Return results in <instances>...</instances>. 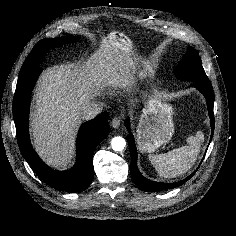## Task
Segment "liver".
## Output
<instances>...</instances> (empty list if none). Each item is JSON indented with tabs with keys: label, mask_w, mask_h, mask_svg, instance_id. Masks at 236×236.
I'll use <instances>...</instances> for the list:
<instances>
[{
	"label": "liver",
	"mask_w": 236,
	"mask_h": 236,
	"mask_svg": "<svg viewBox=\"0 0 236 236\" xmlns=\"http://www.w3.org/2000/svg\"><path fill=\"white\" fill-rule=\"evenodd\" d=\"M132 74L126 52L107 38L83 64L49 67L35 89L31 131L35 150L54 168L72 159L82 108L101 90L125 88Z\"/></svg>",
	"instance_id": "6515ba94"
}]
</instances>
